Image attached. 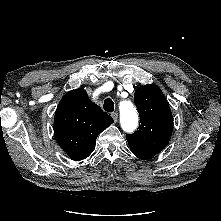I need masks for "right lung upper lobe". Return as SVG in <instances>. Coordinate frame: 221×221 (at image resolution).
<instances>
[{
    "label": "right lung upper lobe",
    "mask_w": 221,
    "mask_h": 221,
    "mask_svg": "<svg viewBox=\"0 0 221 221\" xmlns=\"http://www.w3.org/2000/svg\"><path fill=\"white\" fill-rule=\"evenodd\" d=\"M112 123V117L91 102L84 89H76L69 91L57 107L54 134L69 157L79 161L94 151L97 136Z\"/></svg>",
    "instance_id": "obj_1"
}]
</instances>
